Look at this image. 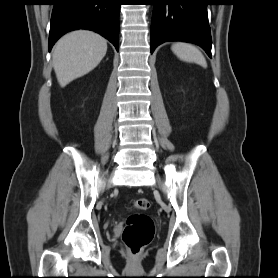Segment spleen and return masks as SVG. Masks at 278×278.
Returning a JSON list of instances; mask_svg holds the SVG:
<instances>
[{
	"instance_id": "spleen-1",
	"label": "spleen",
	"mask_w": 278,
	"mask_h": 278,
	"mask_svg": "<svg viewBox=\"0 0 278 278\" xmlns=\"http://www.w3.org/2000/svg\"><path fill=\"white\" fill-rule=\"evenodd\" d=\"M173 53L181 60L194 62L202 67H207V62L203 54L195 46L185 42H177L171 46Z\"/></svg>"
}]
</instances>
